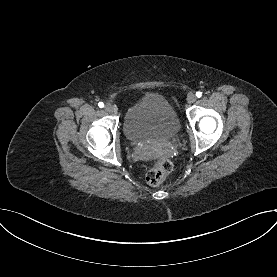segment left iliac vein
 Instances as JSON below:
<instances>
[{
  "label": "left iliac vein",
  "mask_w": 277,
  "mask_h": 277,
  "mask_svg": "<svg viewBox=\"0 0 277 277\" xmlns=\"http://www.w3.org/2000/svg\"><path fill=\"white\" fill-rule=\"evenodd\" d=\"M196 101V96L194 93H189L188 96H187V102L189 104H192Z\"/></svg>",
  "instance_id": "4c4485c4"
}]
</instances>
